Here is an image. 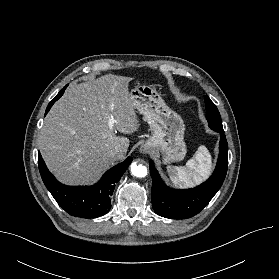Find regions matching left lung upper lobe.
Instances as JSON below:
<instances>
[{"mask_svg": "<svg viewBox=\"0 0 279 279\" xmlns=\"http://www.w3.org/2000/svg\"><path fill=\"white\" fill-rule=\"evenodd\" d=\"M206 103V115L209 123V127L217 132L223 131L222 121L220 113L215 104L210 100L208 96H205Z\"/></svg>", "mask_w": 279, "mask_h": 279, "instance_id": "1", "label": "left lung upper lobe"}]
</instances>
